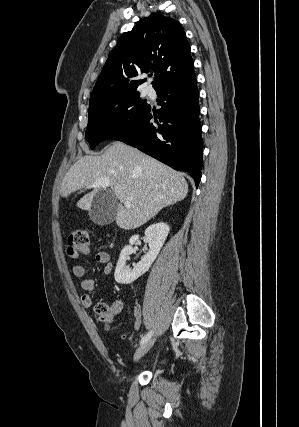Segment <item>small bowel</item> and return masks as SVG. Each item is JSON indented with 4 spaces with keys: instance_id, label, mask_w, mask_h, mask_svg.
I'll use <instances>...</instances> for the list:
<instances>
[{
    "instance_id": "1",
    "label": "small bowel",
    "mask_w": 299,
    "mask_h": 427,
    "mask_svg": "<svg viewBox=\"0 0 299 427\" xmlns=\"http://www.w3.org/2000/svg\"><path fill=\"white\" fill-rule=\"evenodd\" d=\"M96 261L99 264L103 265V273L105 275H108L113 270V264L110 262V256L106 252H100L95 257ZM72 272L76 277H79L82 279V288L86 291H92L95 288V280L88 276L86 273V270L84 266L81 264L75 263L72 265ZM81 304L84 308H90L93 305V298L89 294H84L81 297ZM124 307V303L122 300H116L112 306L110 307L109 314L112 317H115L118 315ZM133 322L134 327L136 329H139L141 327L142 318H141V310L139 307L134 308V314H133Z\"/></svg>"
}]
</instances>
